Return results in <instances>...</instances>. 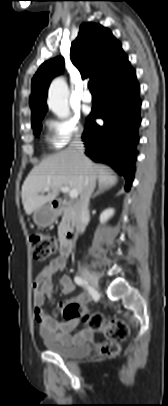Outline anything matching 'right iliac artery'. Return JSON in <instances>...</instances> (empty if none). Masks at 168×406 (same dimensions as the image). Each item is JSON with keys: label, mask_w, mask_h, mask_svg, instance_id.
I'll return each instance as SVG.
<instances>
[{"label": "right iliac artery", "mask_w": 168, "mask_h": 406, "mask_svg": "<svg viewBox=\"0 0 168 406\" xmlns=\"http://www.w3.org/2000/svg\"><path fill=\"white\" fill-rule=\"evenodd\" d=\"M74 281L77 285L86 288L88 290V292L94 297V295H95L94 289L90 285H88V283L85 280H83L79 276H75Z\"/></svg>", "instance_id": "obj_1"}]
</instances>
